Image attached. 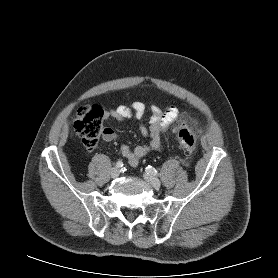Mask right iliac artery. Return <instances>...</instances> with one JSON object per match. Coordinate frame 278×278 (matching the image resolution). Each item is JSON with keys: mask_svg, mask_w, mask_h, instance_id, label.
<instances>
[{"mask_svg": "<svg viewBox=\"0 0 278 278\" xmlns=\"http://www.w3.org/2000/svg\"><path fill=\"white\" fill-rule=\"evenodd\" d=\"M124 164H123V161L119 160L117 163H116V166L118 168L122 167Z\"/></svg>", "mask_w": 278, "mask_h": 278, "instance_id": "1", "label": "right iliac artery"}]
</instances>
